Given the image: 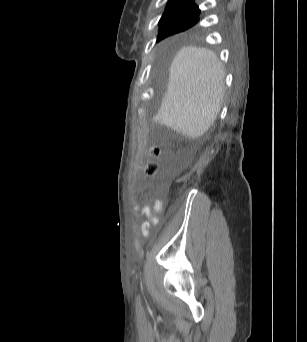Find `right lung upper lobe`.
Masks as SVG:
<instances>
[{"label":"right lung upper lobe","mask_w":307,"mask_h":342,"mask_svg":"<svg viewBox=\"0 0 307 342\" xmlns=\"http://www.w3.org/2000/svg\"><path fill=\"white\" fill-rule=\"evenodd\" d=\"M180 10H199L194 0H169L165 12L180 11ZM203 22L199 20L196 24L186 29L191 32H196L202 28ZM185 31V30H184Z\"/></svg>","instance_id":"obj_1"}]
</instances>
